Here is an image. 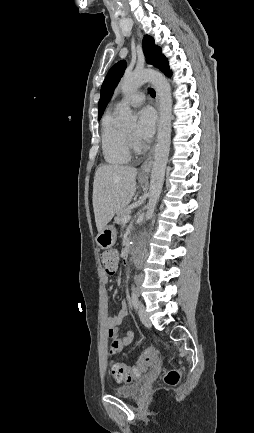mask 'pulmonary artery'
Returning <instances> with one entry per match:
<instances>
[{"instance_id": "obj_1", "label": "pulmonary artery", "mask_w": 254, "mask_h": 433, "mask_svg": "<svg viewBox=\"0 0 254 433\" xmlns=\"http://www.w3.org/2000/svg\"><path fill=\"white\" fill-rule=\"evenodd\" d=\"M145 101V94L143 91H134L129 94L120 103L128 104L131 106H139Z\"/></svg>"}]
</instances>
